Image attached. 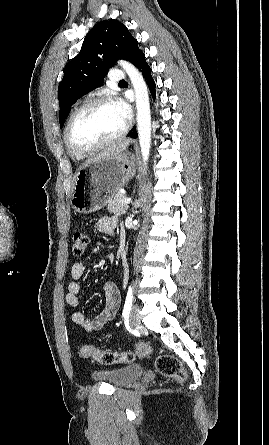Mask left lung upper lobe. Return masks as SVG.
Here are the masks:
<instances>
[{
  "label": "left lung upper lobe",
  "mask_w": 269,
  "mask_h": 445,
  "mask_svg": "<svg viewBox=\"0 0 269 445\" xmlns=\"http://www.w3.org/2000/svg\"><path fill=\"white\" fill-rule=\"evenodd\" d=\"M142 53L137 40L121 22L109 19L96 24L85 37L80 53L64 69L58 88L60 127L76 100L100 87L118 59L135 64Z\"/></svg>",
  "instance_id": "left-lung-upper-lobe-1"
}]
</instances>
